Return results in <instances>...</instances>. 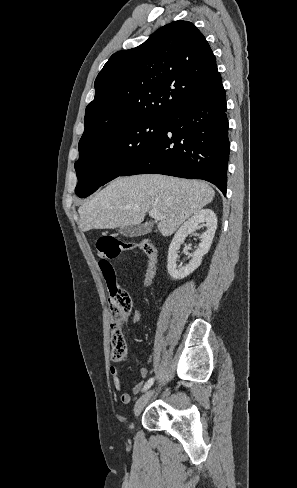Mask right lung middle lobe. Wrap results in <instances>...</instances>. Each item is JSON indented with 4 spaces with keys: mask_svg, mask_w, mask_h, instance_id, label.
Here are the masks:
<instances>
[{
    "mask_svg": "<svg viewBox=\"0 0 297 488\" xmlns=\"http://www.w3.org/2000/svg\"><path fill=\"white\" fill-rule=\"evenodd\" d=\"M167 119L147 118L122 126L96 140H81L75 163V193L87 197L120 176L160 136Z\"/></svg>",
    "mask_w": 297,
    "mask_h": 488,
    "instance_id": "obj_1",
    "label": "right lung middle lobe"
}]
</instances>
